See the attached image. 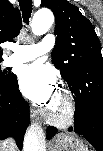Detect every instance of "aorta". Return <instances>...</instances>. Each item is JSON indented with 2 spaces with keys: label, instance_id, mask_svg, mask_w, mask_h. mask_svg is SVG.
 Returning a JSON list of instances; mask_svg holds the SVG:
<instances>
[{
  "label": "aorta",
  "instance_id": "762f6f07",
  "mask_svg": "<svg viewBox=\"0 0 103 151\" xmlns=\"http://www.w3.org/2000/svg\"><path fill=\"white\" fill-rule=\"evenodd\" d=\"M53 22V13L47 8H42L38 10L33 16L31 23L32 32L35 35H43L49 30ZM23 150L45 151V147L34 133L29 132L25 136Z\"/></svg>",
  "mask_w": 103,
  "mask_h": 151
}]
</instances>
